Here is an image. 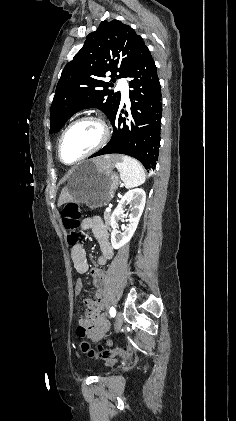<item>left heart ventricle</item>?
Masks as SVG:
<instances>
[{
	"mask_svg": "<svg viewBox=\"0 0 236 421\" xmlns=\"http://www.w3.org/2000/svg\"><path fill=\"white\" fill-rule=\"evenodd\" d=\"M102 137L99 125L84 122L74 126L66 134L62 144V158L66 163H72L98 144Z\"/></svg>",
	"mask_w": 236,
	"mask_h": 421,
	"instance_id": "left-heart-ventricle-1",
	"label": "left heart ventricle"
}]
</instances>
